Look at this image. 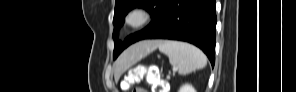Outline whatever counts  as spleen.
I'll return each instance as SVG.
<instances>
[{"label": "spleen", "instance_id": "spleen-1", "mask_svg": "<svg viewBox=\"0 0 296 92\" xmlns=\"http://www.w3.org/2000/svg\"><path fill=\"white\" fill-rule=\"evenodd\" d=\"M159 51L166 54L171 65L178 68L181 75L202 69L206 66L207 59L197 47L179 41L159 42Z\"/></svg>", "mask_w": 296, "mask_h": 92}]
</instances>
